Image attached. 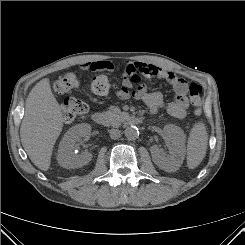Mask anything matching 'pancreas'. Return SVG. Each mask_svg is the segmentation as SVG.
Instances as JSON below:
<instances>
[{"instance_id":"pancreas-1","label":"pancreas","mask_w":245,"mask_h":245,"mask_svg":"<svg viewBox=\"0 0 245 245\" xmlns=\"http://www.w3.org/2000/svg\"><path fill=\"white\" fill-rule=\"evenodd\" d=\"M127 115L116 106H111L109 110L104 112L106 124L112 126L118 125Z\"/></svg>"}]
</instances>
